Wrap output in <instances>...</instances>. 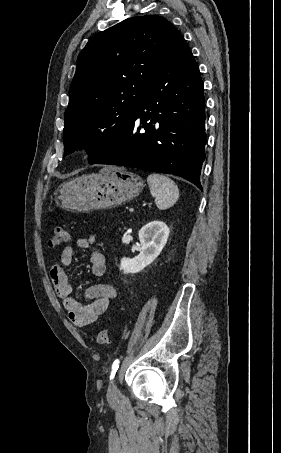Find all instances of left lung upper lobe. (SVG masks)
I'll return each instance as SVG.
<instances>
[{
  "label": "left lung upper lobe",
  "instance_id": "1",
  "mask_svg": "<svg viewBox=\"0 0 281 453\" xmlns=\"http://www.w3.org/2000/svg\"><path fill=\"white\" fill-rule=\"evenodd\" d=\"M180 32L158 15L132 17L94 35L81 51L65 111L68 155L94 164L130 124Z\"/></svg>",
  "mask_w": 281,
  "mask_h": 453
}]
</instances>
